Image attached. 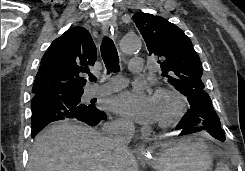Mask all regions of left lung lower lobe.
Wrapping results in <instances>:
<instances>
[{
	"label": "left lung lower lobe",
	"instance_id": "obj_1",
	"mask_svg": "<svg viewBox=\"0 0 245 171\" xmlns=\"http://www.w3.org/2000/svg\"><path fill=\"white\" fill-rule=\"evenodd\" d=\"M186 97L190 109L175 128L181 131L179 136L207 129L211 136L224 142L225 132L221 129L219 117L212 106L209 95L204 90H194Z\"/></svg>",
	"mask_w": 245,
	"mask_h": 171
}]
</instances>
